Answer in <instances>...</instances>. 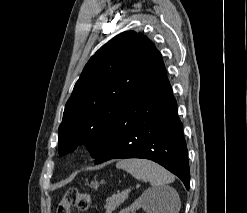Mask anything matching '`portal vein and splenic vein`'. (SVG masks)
Returning <instances> with one entry per match:
<instances>
[{"label": "portal vein and splenic vein", "mask_w": 247, "mask_h": 213, "mask_svg": "<svg viewBox=\"0 0 247 213\" xmlns=\"http://www.w3.org/2000/svg\"><path fill=\"white\" fill-rule=\"evenodd\" d=\"M130 191H131L130 189H125L122 191V195L127 196Z\"/></svg>", "instance_id": "portal-vein-and-splenic-vein-1"}]
</instances>
